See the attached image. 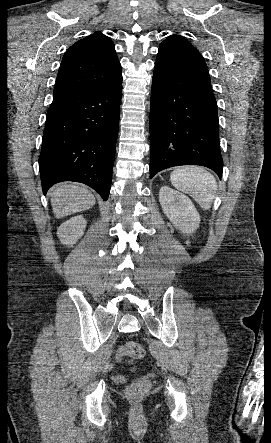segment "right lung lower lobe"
Listing matches in <instances>:
<instances>
[{"label":"right lung lower lobe","mask_w":271,"mask_h":443,"mask_svg":"<svg viewBox=\"0 0 271 443\" xmlns=\"http://www.w3.org/2000/svg\"><path fill=\"white\" fill-rule=\"evenodd\" d=\"M122 79L107 87L54 96L39 157L43 193L75 181L107 200L118 135Z\"/></svg>","instance_id":"obj_1"}]
</instances>
